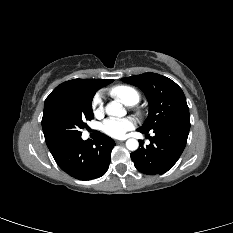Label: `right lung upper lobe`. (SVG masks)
Segmentation results:
<instances>
[{"label":"right lung upper lobe","instance_id":"right-lung-upper-lobe-1","mask_svg":"<svg viewBox=\"0 0 233 233\" xmlns=\"http://www.w3.org/2000/svg\"><path fill=\"white\" fill-rule=\"evenodd\" d=\"M112 79H73L58 85L46 98L44 113L57 100L79 91H97L99 88L112 83ZM44 115V114H43Z\"/></svg>","mask_w":233,"mask_h":233}]
</instances>
